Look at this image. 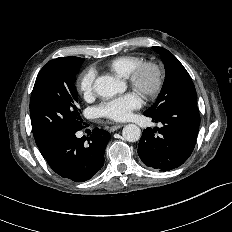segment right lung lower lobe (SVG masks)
<instances>
[{
	"instance_id": "1",
	"label": "right lung lower lobe",
	"mask_w": 232,
	"mask_h": 232,
	"mask_svg": "<svg viewBox=\"0 0 232 232\" xmlns=\"http://www.w3.org/2000/svg\"><path fill=\"white\" fill-rule=\"evenodd\" d=\"M75 133L56 141L44 158L54 172L75 182H84L93 177L104 164V152L110 134L96 128L90 137L77 138Z\"/></svg>"
}]
</instances>
